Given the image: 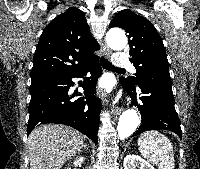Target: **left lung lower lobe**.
I'll use <instances>...</instances> for the list:
<instances>
[{"mask_svg": "<svg viewBox=\"0 0 200 169\" xmlns=\"http://www.w3.org/2000/svg\"><path fill=\"white\" fill-rule=\"evenodd\" d=\"M121 85L130 95L133 102H137L136 88L128 87L123 83ZM138 86L144 94V96L139 98L143 104H137L141 112L142 122L134 136L148 130L165 129L176 133L181 138L180 119L174 107V96L171 86L148 82Z\"/></svg>", "mask_w": 200, "mask_h": 169, "instance_id": "obj_1", "label": "left lung lower lobe"}]
</instances>
